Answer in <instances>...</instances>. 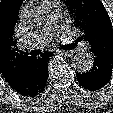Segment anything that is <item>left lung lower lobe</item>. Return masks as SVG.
Wrapping results in <instances>:
<instances>
[{
    "mask_svg": "<svg viewBox=\"0 0 113 113\" xmlns=\"http://www.w3.org/2000/svg\"><path fill=\"white\" fill-rule=\"evenodd\" d=\"M94 58L92 69L86 73H77L79 84L85 89L94 91L105 86L112 76L113 53H109L96 48H91Z\"/></svg>",
    "mask_w": 113,
    "mask_h": 113,
    "instance_id": "1",
    "label": "left lung lower lobe"
}]
</instances>
